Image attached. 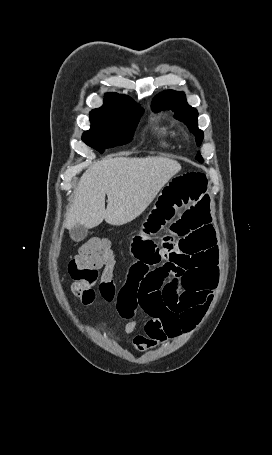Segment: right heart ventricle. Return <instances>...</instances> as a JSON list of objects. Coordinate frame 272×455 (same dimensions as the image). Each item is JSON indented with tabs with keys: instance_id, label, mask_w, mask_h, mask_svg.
I'll list each match as a JSON object with an SVG mask.
<instances>
[{
	"instance_id": "1",
	"label": "right heart ventricle",
	"mask_w": 272,
	"mask_h": 455,
	"mask_svg": "<svg viewBox=\"0 0 272 455\" xmlns=\"http://www.w3.org/2000/svg\"><path fill=\"white\" fill-rule=\"evenodd\" d=\"M154 134L159 138L161 144L165 147L171 145V139L175 136V131L168 125L157 122L153 126Z\"/></svg>"
}]
</instances>
